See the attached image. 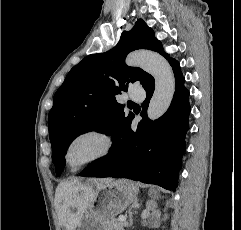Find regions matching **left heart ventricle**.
I'll list each match as a JSON object with an SVG mask.
<instances>
[{
    "instance_id": "b2bd125f",
    "label": "left heart ventricle",
    "mask_w": 241,
    "mask_h": 230,
    "mask_svg": "<svg viewBox=\"0 0 241 230\" xmlns=\"http://www.w3.org/2000/svg\"><path fill=\"white\" fill-rule=\"evenodd\" d=\"M103 148L101 139L95 136H84L77 139L70 147L68 160L76 166L98 154Z\"/></svg>"
}]
</instances>
